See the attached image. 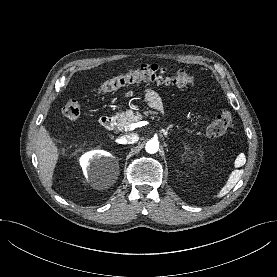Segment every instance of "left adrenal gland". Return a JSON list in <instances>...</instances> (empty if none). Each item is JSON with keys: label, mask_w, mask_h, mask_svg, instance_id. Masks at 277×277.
Returning <instances> with one entry per match:
<instances>
[{"label": "left adrenal gland", "mask_w": 277, "mask_h": 277, "mask_svg": "<svg viewBox=\"0 0 277 277\" xmlns=\"http://www.w3.org/2000/svg\"><path fill=\"white\" fill-rule=\"evenodd\" d=\"M172 126L171 125H169L166 129H162L161 130V133H163L164 134V136L165 137H167V135H168V131H169V129L171 128Z\"/></svg>", "instance_id": "left-adrenal-gland-1"}]
</instances>
